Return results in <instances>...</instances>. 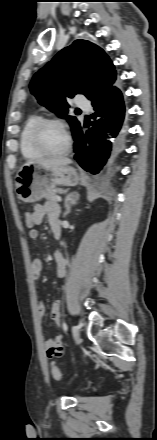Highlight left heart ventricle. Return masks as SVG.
<instances>
[{
  "label": "left heart ventricle",
  "mask_w": 157,
  "mask_h": 440,
  "mask_svg": "<svg viewBox=\"0 0 157 440\" xmlns=\"http://www.w3.org/2000/svg\"><path fill=\"white\" fill-rule=\"evenodd\" d=\"M40 140L45 149L52 152L61 151L66 146V136L57 125H47L40 133Z\"/></svg>",
  "instance_id": "1"
}]
</instances>
